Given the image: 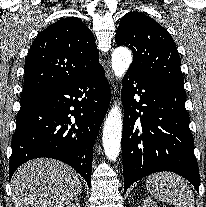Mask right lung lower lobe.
Listing matches in <instances>:
<instances>
[{
  "mask_svg": "<svg viewBox=\"0 0 206 207\" xmlns=\"http://www.w3.org/2000/svg\"><path fill=\"white\" fill-rule=\"evenodd\" d=\"M12 137L9 179L28 160L48 157L73 167L90 187L93 145L111 91L104 69L79 80L22 94Z\"/></svg>",
  "mask_w": 206,
  "mask_h": 207,
  "instance_id": "obj_1",
  "label": "right lung lower lobe"
}]
</instances>
